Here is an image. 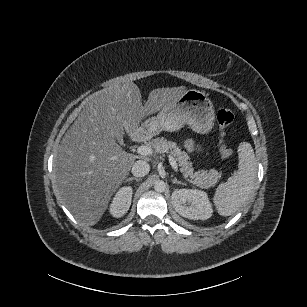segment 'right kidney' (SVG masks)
I'll return each mask as SVG.
<instances>
[{
    "instance_id": "obj_1",
    "label": "right kidney",
    "mask_w": 307,
    "mask_h": 307,
    "mask_svg": "<svg viewBox=\"0 0 307 307\" xmlns=\"http://www.w3.org/2000/svg\"><path fill=\"white\" fill-rule=\"evenodd\" d=\"M132 193L130 186L119 189L110 205V214L113 217L120 218L127 213L131 205Z\"/></svg>"
}]
</instances>
